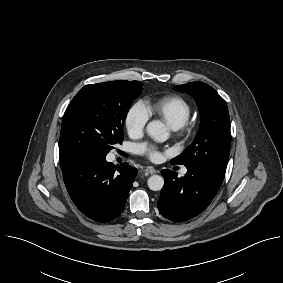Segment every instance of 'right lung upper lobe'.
<instances>
[{
    "instance_id": "obj_1",
    "label": "right lung upper lobe",
    "mask_w": 283,
    "mask_h": 283,
    "mask_svg": "<svg viewBox=\"0 0 283 283\" xmlns=\"http://www.w3.org/2000/svg\"><path fill=\"white\" fill-rule=\"evenodd\" d=\"M72 163H73L72 160L61 159L62 171L66 170Z\"/></svg>"
}]
</instances>
